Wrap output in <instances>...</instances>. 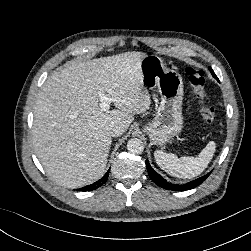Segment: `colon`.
Segmentation results:
<instances>
[{
	"instance_id": "1",
	"label": "colon",
	"mask_w": 251,
	"mask_h": 251,
	"mask_svg": "<svg viewBox=\"0 0 251 251\" xmlns=\"http://www.w3.org/2000/svg\"><path fill=\"white\" fill-rule=\"evenodd\" d=\"M199 107V114L203 121L212 123L216 119V111L209 103L208 94L205 88V74L203 70L187 67L185 70Z\"/></svg>"
}]
</instances>
